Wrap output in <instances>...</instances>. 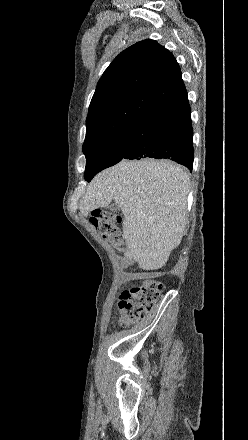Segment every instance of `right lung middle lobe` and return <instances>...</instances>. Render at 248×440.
<instances>
[{
	"mask_svg": "<svg viewBox=\"0 0 248 440\" xmlns=\"http://www.w3.org/2000/svg\"><path fill=\"white\" fill-rule=\"evenodd\" d=\"M128 129L114 132L97 143L83 148L86 156L85 180L90 181L101 170L123 159L129 145Z\"/></svg>",
	"mask_w": 248,
	"mask_h": 440,
	"instance_id": "obj_1",
	"label": "right lung middle lobe"
}]
</instances>
